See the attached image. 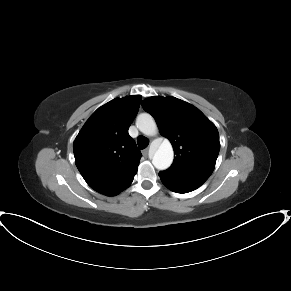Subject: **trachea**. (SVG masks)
Listing matches in <instances>:
<instances>
[{
  "label": "trachea",
  "mask_w": 291,
  "mask_h": 291,
  "mask_svg": "<svg viewBox=\"0 0 291 291\" xmlns=\"http://www.w3.org/2000/svg\"><path fill=\"white\" fill-rule=\"evenodd\" d=\"M137 144L140 149H145L149 144V140L145 136H139L137 138Z\"/></svg>",
  "instance_id": "trachea-1"
}]
</instances>
